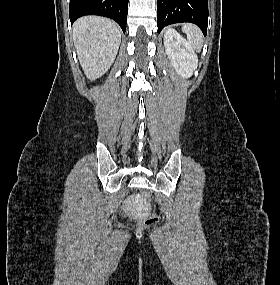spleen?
Returning a JSON list of instances; mask_svg holds the SVG:
<instances>
[{
  "label": "spleen",
  "mask_w": 280,
  "mask_h": 285,
  "mask_svg": "<svg viewBox=\"0 0 280 285\" xmlns=\"http://www.w3.org/2000/svg\"><path fill=\"white\" fill-rule=\"evenodd\" d=\"M182 31L187 35V39L191 46L197 51H200L203 44V37L200 29L195 25L186 24L183 25Z\"/></svg>",
  "instance_id": "spleen-1"
}]
</instances>
